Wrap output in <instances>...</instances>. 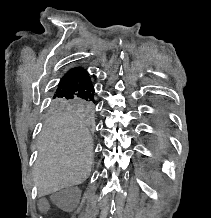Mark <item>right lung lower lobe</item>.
Masks as SVG:
<instances>
[{
  "instance_id": "1",
  "label": "right lung lower lobe",
  "mask_w": 211,
  "mask_h": 218,
  "mask_svg": "<svg viewBox=\"0 0 211 218\" xmlns=\"http://www.w3.org/2000/svg\"><path fill=\"white\" fill-rule=\"evenodd\" d=\"M94 87L88 73L82 68L70 69L60 80L53 97H78L95 101Z\"/></svg>"
}]
</instances>
